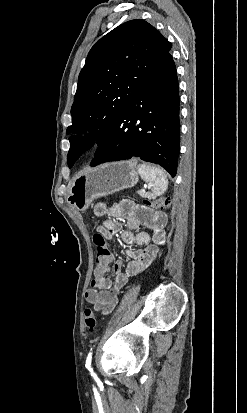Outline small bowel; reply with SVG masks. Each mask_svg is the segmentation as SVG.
Returning <instances> with one entry per match:
<instances>
[{
	"label": "small bowel",
	"instance_id": "c3829d8e",
	"mask_svg": "<svg viewBox=\"0 0 247 413\" xmlns=\"http://www.w3.org/2000/svg\"><path fill=\"white\" fill-rule=\"evenodd\" d=\"M93 212L98 217L109 213L114 218L125 220V228H122V225L115 220H106L99 229L103 236L111 237L120 231L125 246H145L143 250H127L126 255L129 261L126 265L122 260H116L113 263L114 281L108 277H94L91 287L85 292V299L93 306V309L108 315L117 306L119 294L127 285L129 276L143 272L156 257L159 246L164 243V227L167 219L153 209L140 207L130 202L113 204L110 207L105 202H99L94 206ZM140 227L151 229L153 234L150 235L145 231L134 233Z\"/></svg>",
	"mask_w": 247,
	"mask_h": 413
}]
</instances>
